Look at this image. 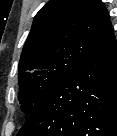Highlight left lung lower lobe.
I'll list each match as a JSON object with an SVG mask.
<instances>
[{
    "instance_id": "left-lung-lower-lobe-1",
    "label": "left lung lower lobe",
    "mask_w": 117,
    "mask_h": 136,
    "mask_svg": "<svg viewBox=\"0 0 117 136\" xmlns=\"http://www.w3.org/2000/svg\"><path fill=\"white\" fill-rule=\"evenodd\" d=\"M17 136H117L113 32L41 101Z\"/></svg>"
}]
</instances>
